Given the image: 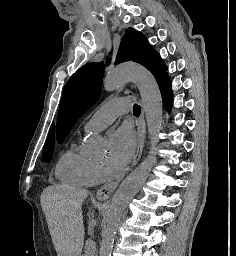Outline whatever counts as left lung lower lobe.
<instances>
[{
    "instance_id": "left-lung-lower-lobe-1",
    "label": "left lung lower lobe",
    "mask_w": 236,
    "mask_h": 256,
    "mask_svg": "<svg viewBox=\"0 0 236 256\" xmlns=\"http://www.w3.org/2000/svg\"><path fill=\"white\" fill-rule=\"evenodd\" d=\"M160 91L162 94L163 101L167 107V109H170L171 101H172V93H171V84L170 80L168 78V75H163L158 81H157Z\"/></svg>"
}]
</instances>
